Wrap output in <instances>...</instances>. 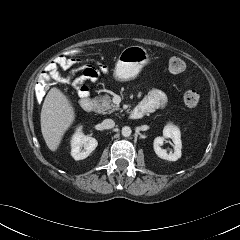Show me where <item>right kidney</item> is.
<instances>
[{
	"label": "right kidney",
	"instance_id": "obj_1",
	"mask_svg": "<svg viewBox=\"0 0 240 240\" xmlns=\"http://www.w3.org/2000/svg\"><path fill=\"white\" fill-rule=\"evenodd\" d=\"M97 145V140L93 137L85 136L82 133V126H80L71 140V155L75 160L85 159L95 150Z\"/></svg>",
	"mask_w": 240,
	"mask_h": 240
}]
</instances>
